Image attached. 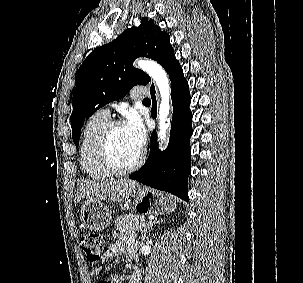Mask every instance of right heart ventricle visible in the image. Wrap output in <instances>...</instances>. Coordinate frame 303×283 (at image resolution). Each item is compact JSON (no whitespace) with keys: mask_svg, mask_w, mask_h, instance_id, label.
I'll return each mask as SVG.
<instances>
[{"mask_svg":"<svg viewBox=\"0 0 303 283\" xmlns=\"http://www.w3.org/2000/svg\"><path fill=\"white\" fill-rule=\"evenodd\" d=\"M110 121L101 111L94 113L86 122L80 140V164L85 175L93 181L107 179L110 175L100 166L96 156L98 138Z\"/></svg>","mask_w":303,"mask_h":283,"instance_id":"right-heart-ventricle-1","label":"right heart ventricle"}]
</instances>
